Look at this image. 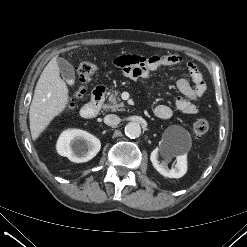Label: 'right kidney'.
<instances>
[{
  "mask_svg": "<svg viewBox=\"0 0 247 247\" xmlns=\"http://www.w3.org/2000/svg\"><path fill=\"white\" fill-rule=\"evenodd\" d=\"M82 140V144L78 149L86 148L87 151L77 154L72 149V143L74 141ZM100 140L94 135L81 129L65 130L61 133L56 149L61 156L68 157L74 162H86L94 158L100 151Z\"/></svg>",
  "mask_w": 247,
  "mask_h": 247,
  "instance_id": "1",
  "label": "right kidney"
}]
</instances>
